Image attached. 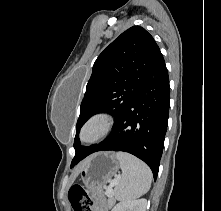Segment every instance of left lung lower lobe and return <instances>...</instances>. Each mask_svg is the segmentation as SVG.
I'll return each instance as SVG.
<instances>
[{
    "instance_id": "0a47b994",
    "label": "left lung lower lobe",
    "mask_w": 221,
    "mask_h": 211,
    "mask_svg": "<svg viewBox=\"0 0 221 211\" xmlns=\"http://www.w3.org/2000/svg\"><path fill=\"white\" fill-rule=\"evenodd\" d=\"M169 100L168 72L160 53L110 136L90 154L108 150L128 152L143 160L156 180L168 124Z\"/></svg>"
}]
</instances>
